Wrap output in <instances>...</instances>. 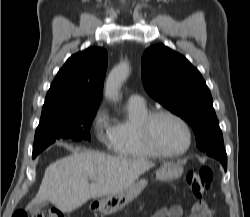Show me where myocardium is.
Returning a JSON list of instances; mask_svg holds the SVG:
<instances>
[{
    "label": "myocardium",
    "mask_w": 250,
    "mask_h": 217,
    "mask_svg": "<svg viewBox=\"0 0 250 217\" xmlns=\"http://www.w3.org/2000/svg\"><path fill=\"white\" fill-rule=\"evenodd\" d=\"M159 117H170L182 125V127L184 128L187 134V144L185 148L176 152H167V151L162 150L158 146L154 137L153 126H154L156 119H158ZM139 128H140V133H141L144 143L157 157L173 158V157L182 156L190 149L192 145L193 137H192V131H191L189 124L180 115L167 109H156V110L150 111L141 120Z\"/></svg>",
    "instance_id": "1"
}]
</instances>
